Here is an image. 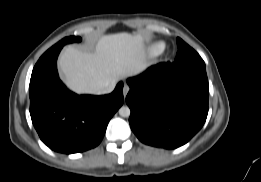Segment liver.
Returning a JSON list of instances; mask_svg holds the SVG:
<instances>
[{
	"instance_id": "6515ba94",
	"label": "liver",
	"mask_w": 261,
	"mask_h": 182,
	"mask_svg": "<svg viewBox=\"0 0 261 182\" xmlns=\"http://www.w3.org/2000/svg\"><path fill=\"white\" fill-rule=\"evenodd\" d=\"M66 85L77 93L99 94L106 85L147 68L143 37L126 32L103 35L94 52L66 47L59 57Z\"/></svg>"
}]
</instances>
